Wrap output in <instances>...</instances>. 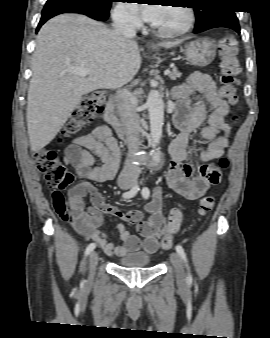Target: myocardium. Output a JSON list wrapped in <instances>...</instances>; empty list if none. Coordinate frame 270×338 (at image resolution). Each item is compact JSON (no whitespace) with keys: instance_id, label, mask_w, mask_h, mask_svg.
Instances as JSON below:
<instances>
[{"instance_id":"f54148a6","label":"myocardium","mask_w":270,"mask_h":338,"mask_svg":"<svg viewBox=\"0 0 270 338\" xmlns=\"http://www.w3.org/2000/svg\"><path fill=\"white\" fill-rule=\"evenodd\" d=\"M181 8L184 9L186 13V22L181 28L172 31H166L158 29L154 25H151L152 31L155 32L158 36L165 38L179 37L188 33L194 25L195 13L192 7L188 6L187 4H184Z\"/></svg>"}]
</instances>
